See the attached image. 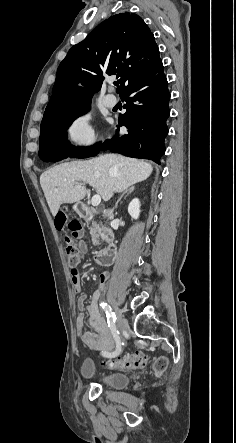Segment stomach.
<instances>
[{"mask_svg": "<svg viewBox=\"0 0 236 443\" xmlns=\"http://www.w3.org/2000/svg\"><path fill=\"white\" fill-rule=\"evenodd\" d=\"M73 209L75 210V211H78V205L76 204L74 207H73Z\"/></svg>", "mask_w": 236, "mask_h": 443, "instance_id": "1", "label": "stomach"}]
</instances>
